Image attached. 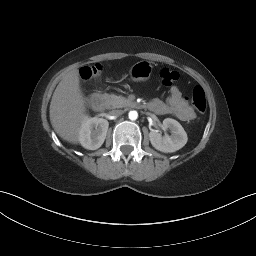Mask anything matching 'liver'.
Listing matches in <instances>:
<instances>
[{
  "label": "liver",
  "instance_id": "6515ba94",
  "mask_svg": "<svg viewBox=\"0 0 256 256\" xmlns=\"http://www.w3.org/2000/svg\"><path fill=\"white\" fill-rule=\"evenodd\" d=\"M50 122L65 141L79 143V132L86 113V101L80 87L79 71L65 74L57 85L50 103Z\"/></svg>",
  "mask_w": 256,
  "mask_h": 256
}]
</instances>
